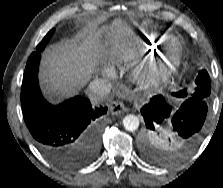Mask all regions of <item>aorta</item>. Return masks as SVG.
Wrapping results in <instances>:
<instances>
[{"label": "aorta", "instance_id": "obj_1", "mask_svg": "<svg viewBox=\"0 0 223 188\" xmlns=\"http://www.w3.org/2000/svg\"><path fill=\"white\" fill-rule=\"evenodd\" d=\"M123 126L127 131H135L139 127V119L137 116L129 114L123 118Z\"/></svg>", "mask_w": 223, "mask_h": 188}]
</instances>
